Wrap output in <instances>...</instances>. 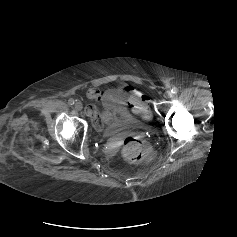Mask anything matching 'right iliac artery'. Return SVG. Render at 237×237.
<instances>
[{"label":"right iliac artery","instance_id":"right-iliac-artery-1","mask_svg":"<svg viewBox=\"0 0 237 237\" xmlns=\"http://www.w3.org/2000/svg\"><path fill=\"white\" fill-rule=\"evenodd\" d=\"M68 103H69L70 105H73V104L75 103V100L72 99V98H70V99L68 100Z\"/></svg>","mask_w":237,"mask_h":237}]
</instances>
